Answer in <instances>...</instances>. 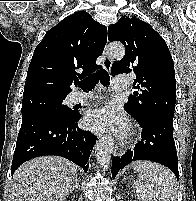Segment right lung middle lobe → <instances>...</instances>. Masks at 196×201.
Instances as JSON below:
<instances>
[{
    "instance_id": "obj_1",
    "label": "right lung middle lobe",
    "mask_w": 196,
    "mask_h": 201,
    "mask_svg": "<svg viewBox=\"0 0 196 201\" xmlns=\"http://www.w3.org/2000/svg\"><path fill=\"white\" fill-rule=\"evenodd\" d=\"M65 97L38 94L23 98L22 117L32 114H47L68 119L73 115L74 111L63 105Z\"/></svg>"
}]
</instances>
